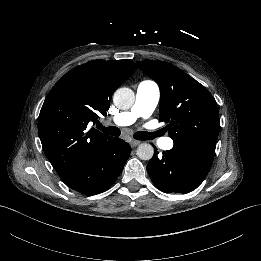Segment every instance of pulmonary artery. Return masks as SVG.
Wrapping results in <instances>:
<instances>
[{"label": "pulmonary artery", "instance_id": "e3ab8cb5", "mask_svg": "<svg viewBox=\"0 0 261 261\" xmlns=\"http://www.w3.org/2000/svg\"><path fill=\"white\" fill-rule=\"evenodd\" d=\"M160 100L159 86L151 80H143L138 84L134 107L130 112H122L113 117V122L119 126L133 123L137 117H149ZM156 144L159 148L171 152L175 149V142L161 136Z\"/></svg>", "mask_w": 261, "mask_h": 261}]
</instances>
